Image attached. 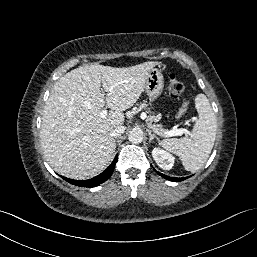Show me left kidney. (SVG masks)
<instances>
[{
    "instance_id": "left-kidney-1",
    "label": "left kidney",
    "mask_w": 257,
    "mask_h": 257,
    "mask_svg": "<svg viewBox=\"0 0 257 257\" xmlns=\"http://www.w3.org/2000/svg\"><path fill=\"white\" fill-rule=\"evenodd\" d=\"M152 157L157 165L164 170H170L174 165L175 158L160 148H154L152 150Z\"/></svg>"
}]
</instances>
